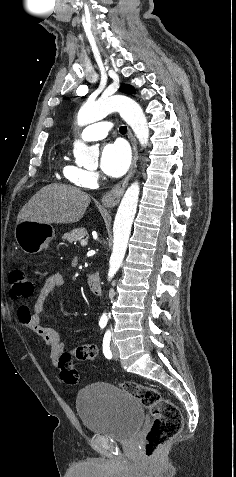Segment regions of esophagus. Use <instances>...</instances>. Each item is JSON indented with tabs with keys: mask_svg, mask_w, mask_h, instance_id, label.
<instances>
[{
	"mask_svg": "<svg viewBox=\"0 0 236 477\" xmlns=\"http://www.w3.org/2000/svg\"><path fill=\"white\" fill-rule=\"evenodd\" d=\"M128 137L130 139V142L132 145V151H133V159H132L131 168L129 170L128 175L121 182L115 185L111 191H109L102 197V200H101L102 204L108 208L114 207L115 205L119 203L124 193V190L126 186L128 185V182L133 176L135 169L137 167V160H138L137 144L130 129L128 130Z\"/></svg>",
	"mask_w": 236,
	"mask_h": 477,
	"instance_id": "esophagus-1",
	"label": "esophagus"
}]
</instances>
